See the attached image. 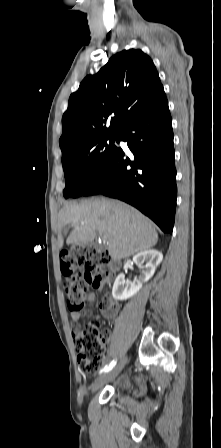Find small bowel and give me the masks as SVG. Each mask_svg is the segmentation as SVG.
<instances>
[{"mask_svg": "<svg viewBox=\"0 0 221 448\" xmlns=\"http://www.w3.org/2000/svg\"><path fill=\"white\" fill-rule=\"evenodd\" d=\"M96 301L95 293H89L86 297V302L88 304H93ZM100 313L104 318L111 319L114 318L118 312V303L115 298L110 294H105L102 303L99 305ZM82 317L80 311H73L71 313V319L73 323L77 324Z\"/></svg>", "mask_w": 221, "mask_h": 448, "instance_id": "small-bowel-1", "label": "small bowel"}]
</instances>
